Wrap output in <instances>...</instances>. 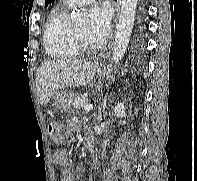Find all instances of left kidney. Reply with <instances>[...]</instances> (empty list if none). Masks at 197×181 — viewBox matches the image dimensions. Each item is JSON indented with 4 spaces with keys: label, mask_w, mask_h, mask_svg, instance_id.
<instances>
[{
    "label": "left kidney",
    "mask_w": 197,
    "mask_h": 181,
    "mask_svg": "<svg viewBox=\"0 0 197 181\" xmlns=\"http://www.w3.org/2000/svg\"><path fill=\"white\" fill-rule=\"evenodd\" d=\"M115 114L116 116L120 117V118H123L126 116V112H125V107H124V104L123 103H118L116 106H115Z\"/></svg>",
    "instance_id": "5707ae66"
}]
</instances>
